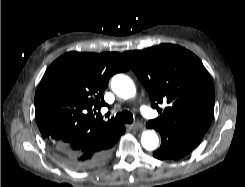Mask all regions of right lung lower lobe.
Wrapping results in <instances>:
<instances>
[{
    "instance_id": "obj_1",
    "label": "right lung lower lobe",
    "mask_w": 245,
    "mask_h": 187,
    "mask_svg": "<svg viewBox=\"0 0 245 187\" xmlns=\"http://www.w3.org/2000/svg\"><path fill=\"white\" fill-rule=\"evenodd\" d=\"M124 132V126H116L108 132L85 136L54 151L63 163L73 168H97L109 159L112 147Z\"/></svg>"
}]
</instances>
